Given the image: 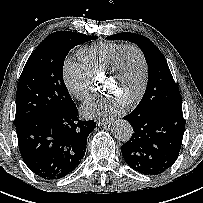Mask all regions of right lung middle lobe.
<instances>
[{
	"label": "right lung middle lobe",
	"instance_id": "1",
	"mask_svg": "<svg viewBox=\"0 0 203 203\" xmlns=\"http://www.w3.org/2000/svg\"><path fill=\"white\" fill-rule=\"evenodd\" d=\"M95 39L97 36L58 31L38 45L18 83L15 126L75 104L63 80L64 60L73 47Z\"/></svg>",
	"mask_w": 203,
	"mask_h": 203
}]
</instances>
